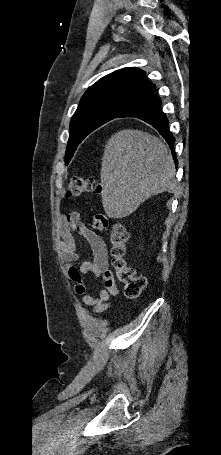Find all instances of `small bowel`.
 Instances as JSON below:
<instances>
[{
  "mask_svg": "<svg viewBox=\"0 0 221 455\" xmlns=\"http://www.w3.org/2000/svg\"><path fill=\"white\" fill-rule=\"evenodd\" d=\"M60 234V254L61 258L69 263V273L75 282V292L82 295L81 301L94 311H100L107 307V301L111 296L118 293V288L114 278L108 270V249L105 242L89 230L81 221L77 213H70L62 216L58 221ZM74 233L85 238L92 249L93 260L84 261L76 265L78 253L76 252V241ZM92 273L96 278L101 279L103 288L100 289L98 297L86 295V286L81 279V275Z\"/></svg>",
  "mask_w": 221,
  "mask_h": 455,
  "instance_id": "small-bowel-1",
  "label": "small bowel"
}]
</instances>
